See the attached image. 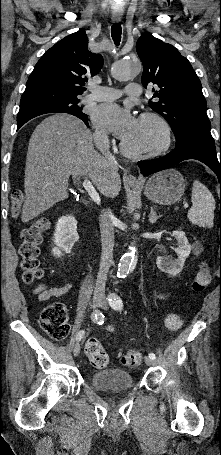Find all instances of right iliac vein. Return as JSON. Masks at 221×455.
Returning a JSON list of instances; mask_svg holds the SVG:
<instances>
[{
	"label": "right iliac vein",
	"mask_w": 221,
	"mask_h": 455,
	"mask_svg": "<svg viewBox=\"0 0 221 455\" xmlns=\"http://www.w3.org/2000/svg\"><path fill=\"white\" fill-rule=\"evenodd\" d=\"M103 301V297L100 296V295H94L93 297V303L95 306L101 304ZM80 353V344L79 343H76L73 347V354L74 356H78Z\"/></svg>",
	"instance_id": "63e3f726"
}]
</instances>
